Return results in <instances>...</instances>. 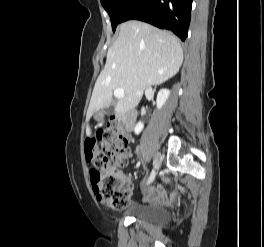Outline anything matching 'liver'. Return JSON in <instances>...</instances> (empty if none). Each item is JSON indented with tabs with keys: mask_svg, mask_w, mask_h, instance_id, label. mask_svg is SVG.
I'll use <instances>...</instances> for the list:
<instances>
[{
	"mask_svg": "<svg viewBox=\"0 0 264 247\" xmlns=\"http://www.w3.org/2000/svg\"><path fill=\"white\" fill-rule=\"evenodd\" d=\"M182 62L181 45L171 33L139 21L122 23L96 81L88 118L111 104L117 88H122L125 96L118 100L116 112L126 113L138 105L147 87L160 85L176 75ZM86 134L91 135L89 126Z\"/></svg>",
	"mask_w": 264,
	"mask_h": 247,
	"instance_id": "liver-1",
	"label": "liver"
}]
</instances>
